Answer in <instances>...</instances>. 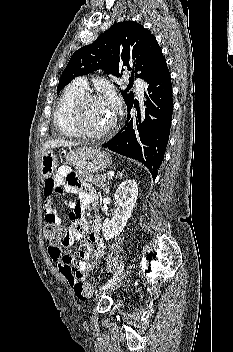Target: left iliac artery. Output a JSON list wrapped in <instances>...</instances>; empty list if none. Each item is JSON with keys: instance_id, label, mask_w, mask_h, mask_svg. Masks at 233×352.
Masks as SVG:
<instances>
[{"instance_id": "1", "label": "left iliac artery", "mask_w": 233, "mask_h": 352, "mask_svg": "<svg viewBox=\"0 0 233 352\" xmlns=\"http://www.w3.org/2000/svg\"><path fill=\"white\" fill-rule=\"evenodd\" d=\"M124 270V264H121L120 267L118 268V271L115 273V275L105 284L103 285L100 290H104L108 288L110 285H112L118 278L119 276L123 273Z\"/></svg>"}]
</instances>
